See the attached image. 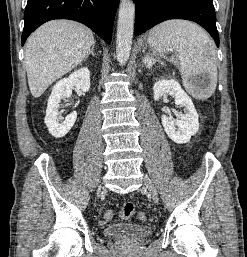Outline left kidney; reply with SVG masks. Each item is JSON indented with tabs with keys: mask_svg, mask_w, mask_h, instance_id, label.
Segmentation results:
<instances>
[{
	"mask_svg": "<svg viewBox=\"0 0 247 257\" xmlns=\"http://www.w3.org/2000/svg\"><path fill=\"white\" fill-rule=\"evenodd\" d=\"M153 93L155 101L163 96L171 95L175 97L177 105L184 107V114L180 113L179 119L174 120L162 115L161 120L170 139L178 144L187 143L199 129L198 114L191 98L174 79L157 81L153 86Z\"/></svg>",
	"mask_w": 247,
	"mask_h": 257,
	"instance_id": "1",
	"label": "left kidney"
}]
</instances>
